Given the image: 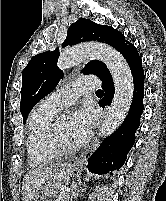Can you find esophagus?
<instances>
[{
    "mask_svg": "<svg viewBox=\"0 0 166 201\" xmlns=\"http://www.w3.org/2000/svg\"><path fill=\"white\" fill-rule=\"evenodd\" d=\"M107 107L104 109V113L107 112ZM99 145L98 136H95L90 147L81 155V157L76 161V164L84 163L88 158L96 151Z\"/></svg>",
    "mask_w": 166,
    "mask_h": 201,
    "instance_id": "obj_1",
    "label": "esophagus"
}]
</instances>
